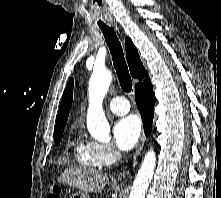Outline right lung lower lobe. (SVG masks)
<instances>
[{"instance_id": "98d812e1", "label": "right lung lower lobe", "mask_w": 221, "mask_h": 198, "mask_svg": "<svg viewBox=\"0 0 221 198\" xmlns=\"http://www.w3.org/2000/svg\"><path fill=\"white\" fill-rule=\"evenodd\" d=\"M137 108L142 117L146 136L151 132L154 117L155 96L150 78L138 86L135 90Z\"/></svg>"}]
</instances>
